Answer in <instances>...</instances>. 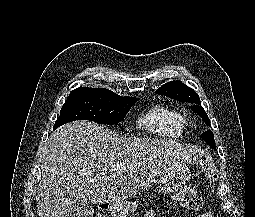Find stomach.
I'll use <instances>...</instances> for the list:
<instances>
[{"label":"stomach","instance_id":"0dacf381","mask_svg":"<svg viewBox=\"0 0 255 217\" xmlns=\"http://www.w3.org/2000/svg\"><path fill=\"white\" fill-rule=\"evenodd\" d=\"M190 177V171L184 162H179L171 169L162 172L158 184L162 191L171 193L182 187ZM138 208L136 201L118 200L108 204V211L113 217H128Z\"/></svg>","mask_w":255,"mask_h":217}]
</instances>
